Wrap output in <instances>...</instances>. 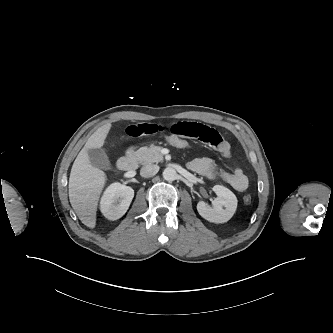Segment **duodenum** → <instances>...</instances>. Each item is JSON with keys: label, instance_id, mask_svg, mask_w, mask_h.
Segmentation results:
<instances>
[{"label": "duodenum", "instance_id": "410a0bca", "mask_svg": "<svg viewBox=\"0 0 333 333\" xmlns=\"http://www.w3.org/2000/svg\"><path fill=\"white\" fill-rule=\"evenodd\" d=\"M138 165V158L135 154L134 148H130L125 156L121 157L118 162L117 166L122 171H133Z\"/></svg>", "mask_w": 333, "mask_h": 333}]
</instances>
